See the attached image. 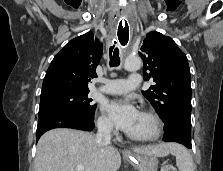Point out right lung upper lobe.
<instances>
[{
	"label": "right lung upper lobe",
	"instance_id": "right-lung-upper-lobe-1",
	"mask_svg": "<svg viewBox=\"0 0 223 171\" xmlns=\"http://www.w3.org/2000/svg\"><path fill=\"white\" fill-rule=\"evenodd\" d=\"M102 44L92 32L69 41L52 60L45 75L41 98L70 91H89L102 57Z\"/></svg>",
	"mask_w": 223,
	"mask_h": 171
}]
</instances>
